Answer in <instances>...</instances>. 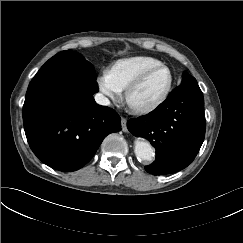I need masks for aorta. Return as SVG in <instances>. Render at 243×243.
Masks as SVG:
<instances>
[{"label":"aorta","instance_id":"762f6f07","mask_svg":"<svg viewBox=\"0 0 243 243\" xmlns=\"http://www.w3.org/2000/svg\"><path fill=\"white\" fill-rule=\"evenodd\" d=\"M136 157L141 161L149 162L153 159L154 152L152 146L142 140H137L134 147Z\"/></svg>","mask_w":243,"mask_h":243}]
</instances>
